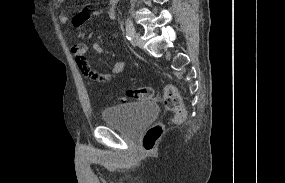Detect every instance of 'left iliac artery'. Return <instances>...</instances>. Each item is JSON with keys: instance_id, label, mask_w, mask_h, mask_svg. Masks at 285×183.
<instances>
[{"instance_id": "1", "label": "left iliac artery", "mask_w": 285, "mask_h": 183, "mask_svg": "<svg viewBox=\"0 0 285 183\" xmlns=\"http://www.w3.org/2000/svg\"><path fill=\"white\" fill-rule=\"evenodd\" d=\"M135 28L131 20H126V37L128 40H131L134 36Z\"/></svg>"}]
</instances>
